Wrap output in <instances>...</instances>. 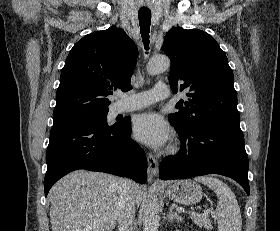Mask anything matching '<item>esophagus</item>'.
I'll return each mask as SVG.
<instances>
[{"instance_id":"1","label":"esophagus","mask_w":280,"mask_h":231,"mask_svg":"<svg viewBox=\"0 0 280 231\" xmlns=\"http://www.w3.org/2000/svg\"><path fill=\"white\" fill-rule=\"evenodd\" d=\"M147 163H148V173L150 177H155L158 174L159 167L157 159L152 155V153H147Z\"/></svg>"}]
</instances>
